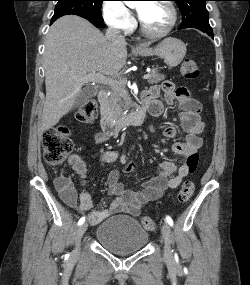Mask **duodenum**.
<instances>
[{"label": "duodenum", "mask_w": 250, "mask_h": 285, "mask_svg": "<svg viewBox=\"0 0 250 285\" xmlns=\"http://www.w3.org/2000/svg\"><path fill=\"white\" fill-rule=\"evenodd\" d=\"M98 99L104 107L108 100V93L105 90L99 91ZM147 111V106L142 103L138 108L119 117H112L107 113H103L101 119L102 130L108 135H113L124 127L130 125H141L146 118Z\"/></svg>", "instance_id": "1"}]
</instances>
